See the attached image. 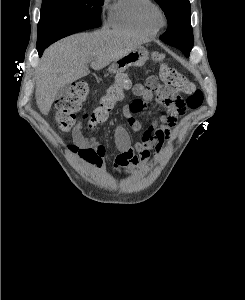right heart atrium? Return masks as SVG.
Instances as JSON below:
<instances>
[{"label":"right heart atrium","instance_id":"d8ad5b80","mask_svg":"<svg viewBox=\"0 0 245 300\" xmlns=\"http://www.w3.org/2000/svg\"><path fill=\"white\" fill-rule=\"evenodd\" d=\"M107 1L108 0H104L103 6H102L103 8L106 6Z\"/></svg>","mask_w":245,"mask_h":300}]
</instances>
